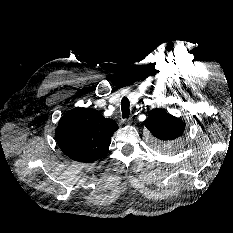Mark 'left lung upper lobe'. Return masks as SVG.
<instances>
[{
    "label": "left lung upper lobe",
    "instance_id": "left-lung-upper-lobe-1",
    "mask_svg": "<svg viewBox=\"0 0 233 233\" xmlns=\"http://www.w3.org/2000/svg\"><path fill=\"white\" fill-rule=\"evenodd\" d=\"M145 126L153 135V143L169 147V143L179 137L185 128V123L163 109H153L145 121Z\"/></svg>",
    "mask_w": 233,
    "mask_h": 233
}]
</instances>
